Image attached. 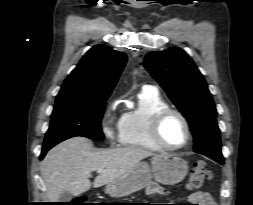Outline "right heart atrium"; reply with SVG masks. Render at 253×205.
<instances>
[{"label":"right heart atrium","instance_id":"1","mask_svg":"<svg viewBox=\"0 0 253 205\" xmlns=\"http://www.w3.org/2000/svg\"><path fill=\"white\" fill-rule=\"evenodd\" d=\"M114 105L106 106L101 118V130L109 142H114L119 136V120L113 115Z\"/></svg>","mask_w":253,"mask_h":205}]
</instances>
